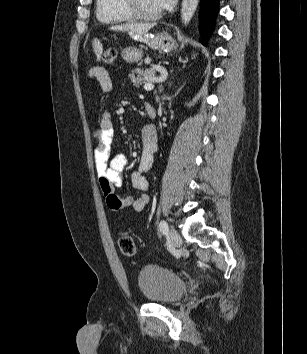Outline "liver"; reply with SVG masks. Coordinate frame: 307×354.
Instances as JSON below:
<instances>
[{
	"mask_svg": "<svg viewBox=\"0 0 307 354\" xmlns=\"http://www.w3.org/2000/svg\"><path fill=\"white\" fill-rule=\"evenodd\" d=\"M154 27V24L148 23H134V24H121L110 27V30L113 31H130L138 35L147 33L151 28Z\"/></svg>",
	"mask_w": 307,
	"mask_h": 354,
	"instance_id": "liver-1",
	"label": "liver"
}]
</instances>
